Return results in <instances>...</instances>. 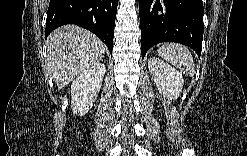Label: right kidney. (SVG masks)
Wrapping results in <instances>:
<instances>
[{
    "instance_id": "right-kidney-1",
    "label": "right kidney",
    "mask_w": 247,
    "mask_h": 156,
    "mask_svg": "<svg viewBox=\"0 0 247 156\" xmlns=\"http://www.w3.org/2000/svg\"><path fill=\"white\" fill-rule=\"evenodd\" d=\"M105 75V64L97 63L83 70L71 85V108L75 115L83 116L97 99Z\"/></svg>"
}]
</instances>
